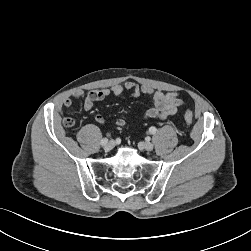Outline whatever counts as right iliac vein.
<instances>
[{"label": "right iliac vein", "instance_id": "63e3f726", "mask_svg": "<svg viewBox=\"0 0 251 251\" xmlns=\"http://www.w3.org/2000/svg\"><path fill=\"white\" fill-rule=\"evenodd\" d=\"M115 143L114 141H109L105 146H104V150L105 151H110L114 148Z\"/></svg>", "mask_w": 251, "mask_h": 251}]
</instances>
